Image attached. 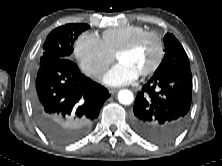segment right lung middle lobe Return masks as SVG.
<instances>
[{
	"label": "right lung middle lobe",
	"mask_w": 222,
	"mask_h": 166,
	"mask_svg": "<svg viewBox=\"0 0 222 166\" xmlns=\"http://www.w3.org/2000/svg\"><path fill=\"white\" fill-rule=\"evenodd\" d=\"M87 24H67L54 29L46 38L39 66L51 61L69 58L73 52V44L79 34L87 30Z\"/></svg>",
	"instance_id": "1"
}]
</instances>
